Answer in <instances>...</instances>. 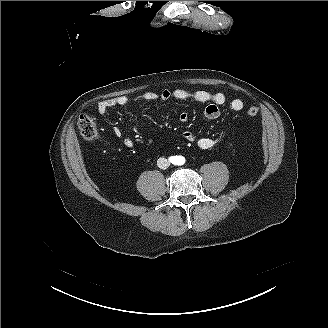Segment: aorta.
<instances>
[{
    "label": "aorta",
    "mask_w": 328,
    "mask_h": 328,
    "mask_svg": "<svg viewBox=\"0 0 328 328\" xmlns=\"http://www.w3.org/2000/svg\"><path fill=\"white\" fill-rule=\"evenodd\" d=\"M180 164H184V161H182Z\"/></svg>",
    "instance_id": "aorta-1"
}]
</instances>
